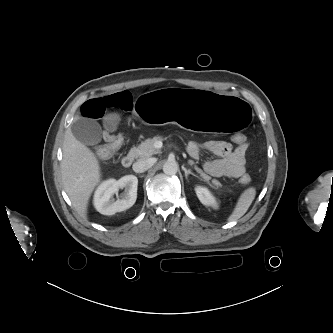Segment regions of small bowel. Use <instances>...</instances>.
<instances>
[{
  "label": "small bowel",
  "instance_id": "1",
  "mask_svg": "<svg viewBox=\"0 0 333 333\" xmlns=\"http://www.w3.org/2000/svg\"><path fill=\"white\" fill-rule=\"evenodd\" d=\"M132 108L133 98L131 94L128 91H121L84 102L80 107V112L87 119L104 118L111 121L113 116L108 113L109 110L130 111ZM202 150H207L217 156L216 159L204 163L205 171L211 176L237 178L245 173L247 143L238 145L235 148H232L230 144L224 141H209L203 145L190 142L187 145V152L194 159L200 157Z\"/></svg>",
  "mask_w": 333,
  "mask_h": 333
}]
</instances>
